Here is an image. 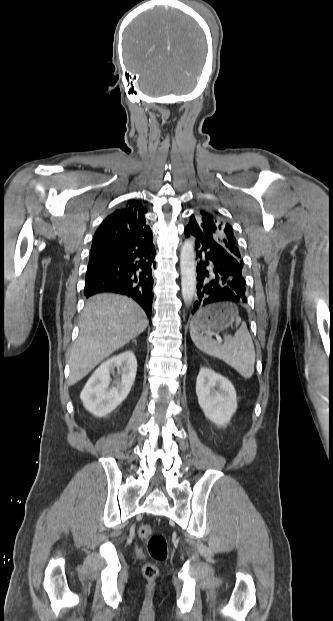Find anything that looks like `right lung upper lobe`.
Returning <instances> with one entry per match:
<instances>
[{"mask_svg":"<svg viewBox=\"0 0 333 621\" xmlns=\"http://www.w3.org/2000/svg\"><path fill=\"white\" fill-rule=\"evenodd\" d=\"M146 212L140 202L130 201L107 216L95 232L91 251L107 248L135 251L153 245L152 231L144 216Z\"/></svg>","mask_w":333,"mask_h":621,"instance_id":"1","label":"right lung upper lobe"}]
</instances>
